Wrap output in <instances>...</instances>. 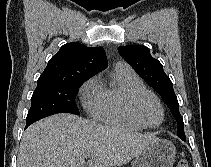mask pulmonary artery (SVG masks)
<instances>
[{
    "instance_id": "pulmonary-artery-1",
    "label": "pulmonary artery",
    "mask_w": 211,
    "mask_h": 167,
    "mask_svg": "<svg viewBox=\"0 0 211 167\" xmlns=\"http://www.w3.org/2000/svg\"><path fill=\"white\" fill-rule=\"evenodd\" d=\"M118 66H126L125 64L123 63H119Z\"/></svg>"
}]
</instances>
